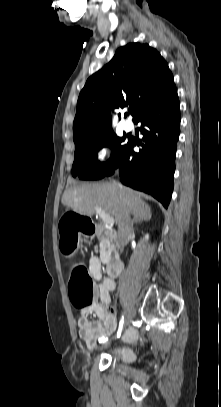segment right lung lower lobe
<instances>
[{
	"instance_id": "right-lung-lower-lobe-1",
	"label": "right lung lower lobe",
	"mask_w": 221,
	"mask_h": 407,
	"mask_svg": "<svg viewBox=\"0 0 221 407\" xmlns=\"http://www.w3.org/2000/svg\"><path fill=\"white\" fill-rule=\"evenodd\" d=\"M180 120V103L174 86L137 116L134 122L143 126L142 140L135 142L129 138L121 159L105 176L119 169L124 185L151 194L167 208L173 191ZM135 145L142 147L138 153L133 151Z\"/></svg>"
}]
</instances>
